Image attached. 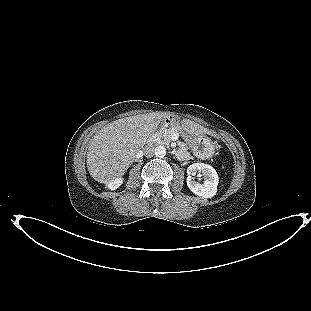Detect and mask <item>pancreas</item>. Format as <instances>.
I'll list each match as a JSON object with an SVG mask.
<instances>
[{"label":"pancreas","instance_id":"pancreas-1","mask_svg":"<svg viewBox=\"0 0 311 311\" xmlns=\"http://www.w3.org/2000/svg\"><path fill=\"white\" fill-rule=\"evenodd\" d=\"M179 134L178 130L175 128H161L158 132L155 133L156 138L160 139V142L168 144L171 142V136L173 134ZM179 146L183 149V150H187V146L185 143L181 142L179 144Z\"/></svg>","mask_w":311,"mask_h":311}]
</instances>
